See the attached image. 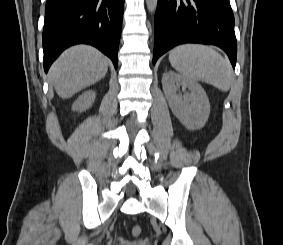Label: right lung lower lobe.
<instances>
[{
  "mask_svg": "<svg viewBox=\"0 0 283 245\" xmlns=\"http://www.w3.org/2000/svg\"><path fill=\"white\" fill-rule=\"evenodd\" d=\"M124 0H46L44 70L67 47L85 43L106 54L117 68Z\"/></svg>",
  "mask_w": 283,
  "mask_h": 245,
  "instance_id": "right-lung-lower-lobe-1",
  "label": "right lung lower lobe"
}]
</instances>
